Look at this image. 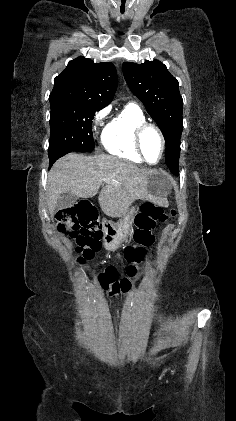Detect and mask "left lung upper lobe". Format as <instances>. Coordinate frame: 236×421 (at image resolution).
I'll return each mask as SVG.
<instances>
[{
	"instance_id": "1",
	"label": "left lung upper lobe",
	"mask_w": 236,
	"mask_h": 421,
	"mask_svg": "<svg viewBox=\"0 0 236 421\" xmlns=\"http://www.w3.org/2000/svg\"><path fill=\"white\" fill-rule=\"evenodd\" d=\"M123 74L133 94L143 102L163 133L167 166L178 165L183 130V99L178 81L157 60L145 61L140 65L124 62Z\"/></svg>"
}]
</instances>
